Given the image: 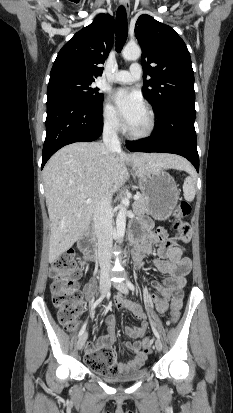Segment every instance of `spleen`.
Returning <instances> with one entry per match:
<instances>
[{"mask_svg": "<svg viewBox=\"0 0 233 413\" xmlns=\"http://www.w3.org/2000/svg\"><path fill=\"white\" fill-rule=\"evenodd\" d=\"M184 198L187 201H192L195 197V177L190 172V176L186 177L183 184Z\"/></svg>", "mask_w": 233, "mask_h": 413, "instance_id": "1", "label": "spleen"}]
</instances>
